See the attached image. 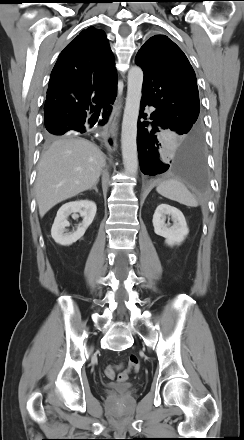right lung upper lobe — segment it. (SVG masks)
Masks as SVG:
<instances>
[{
    "label": "right lung upper lobe",
    "instance_id": "cb5924a9",
    "mask_svg": "<svg viewBox=\"0 0 244 440\" xmlns=\"http://www.w3.org/2000/svg\"><path fill=\"white\" fill-rule=\"evenodd\" d=\"M116 93L117 73L106 35L89 27L67 45L52 70L44 106L45 125L86 116L89 106L108 102Z\"/></svg>",
    "mask_w": 244,
    "mask_h": 440
}]
</instances>
